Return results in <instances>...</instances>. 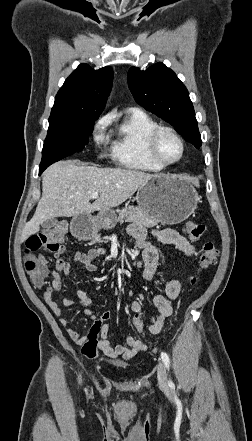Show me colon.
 Returning <instances> with one entry per match:
<instances>
[{
    "label": "colon",
    "mask_w": 252,
    "mask_h": 441,
    "mask_svg": "<svg viewBox=\"0 0 252 441\" xmlns=\"http://www.w3.org/2000/svg\"><path fill=\"white\" fill-rule=\"evenodd\" d=\"M185 233L192 241H198L205 232V226L195 221H188L185 224ZM67 232V225L64 221H60L44 231L31 236L25 246V268L30 275L32 283L36 287L44 284L48 270L43 257L36 256L38 251L46 252H63L65 250L64 239ZM219 252L213 243H205L202 247L198 270L204 271L216 264ZM197 275L190 278L191 284H195ZM110 312H102L95 320L89 334L82 343V354L87 358H97L99 356L100 347L97 335L101 332L102 326L110 319ZM132 325L138 332L144 331V324L141 319L140 312L134 313L132 317Z\"/></svg>",
    "instance_id": "5ec220e1"
}]
</instances>
